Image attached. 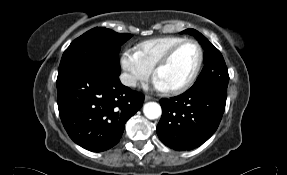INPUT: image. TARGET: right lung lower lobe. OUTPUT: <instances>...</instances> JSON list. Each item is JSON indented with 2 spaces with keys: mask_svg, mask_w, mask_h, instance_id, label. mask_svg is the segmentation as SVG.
<instances>
[{
  "mask_svg": "<svg viewBox=\"0 0 287 175\" xmlns=\"http://www.w3.org/2000/svg\"><path fill=\"white\" fill-rule=\"evenodd\" d=\"M61 121L81 147L101 152L122 137L126 121L143 105L144 95L124 86L118 76L76 69L57 77Z\"/></svg>",
  "mask_w": 287,
  "mask_h": 175,
  "instance_id": "1",
  "label": "right lung lower lobe"
}]
</instances>
